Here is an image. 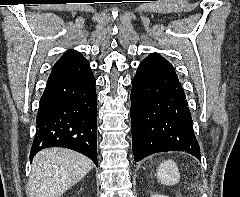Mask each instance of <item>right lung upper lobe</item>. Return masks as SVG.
<instances>
[{
	"label": "right lung upper lobe",
	"mask_w": 240,
	"mask_h": 197,
	"mask_svg": "<svg viewBox=\"0 0 240 197\" xmlns=\"http://www.w3.org/2000/svg\"><path fill=\"white\" fill-rule=\"evenodd\" d=\"M89 65V62L75 50H68L65 54L55 63L52 71L70 70L83 68Z\"/></svg>",
	"instance_id": "right-lung-upper-lobe-1"
}]
</instances>
